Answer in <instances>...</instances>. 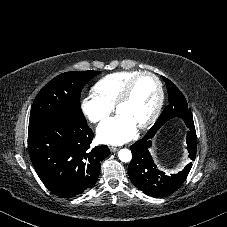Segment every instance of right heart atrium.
<instances>
[{
    "instance_id": "right-heart-atrium-1",
    "label": "right heart atrium",
    "mask_w": 227,
    "mask_h": 227,
    "mask_svg": "<svg viewBox=\"0 0 227 227\" xmlns=\"http://www.w3.org/2000/svg\"><path fill=\"white\" fill-rule=\"evenodd\" d=\"M80 110L90 122L98 123L110 114L111 107L97 95L90 93L82 98Z\"/></svg>"
}]
</instances>
